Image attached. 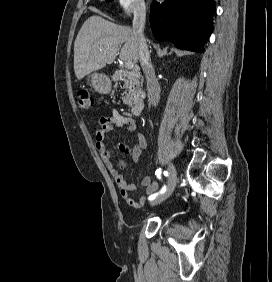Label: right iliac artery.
<instances>
[{
	"instance_id": "right-iliac-artery-1",
	"label": "right iliac artery",
	"mask_w": 272,
	"mask_h": 282,
	"mask_svg": "<svg viewBox=\"0 0 272 282\" xmlns=\"http://www.w3.org/2000/svg\"><path fill=\"white\" fill-rule=\"evenodd\" d=\"M155 174L160 179L161 178V169L160 168L157 169ZM164 175L168 176V172H164ZM165 190H166V186L164 185L163 188L158 193L150 195L149 200H154L159 194H163L165 192Z\"/></svg>"
}]
</instances>
